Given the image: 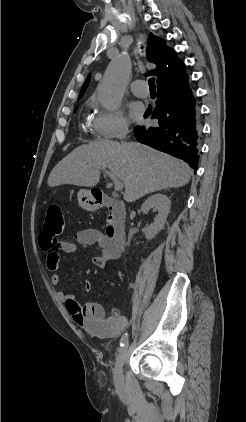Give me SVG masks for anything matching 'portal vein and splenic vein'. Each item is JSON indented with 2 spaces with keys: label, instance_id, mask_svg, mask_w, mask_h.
<instances>
[{
  "label": "portal vein and splenic vein",
  "instance_id": "obj_1",
  "mask_svg": "<svg viewBox=\"0 0 246 422\" xmlns=\"http://www.w3.org/2000/svg\"><path fill=\"white\" fill-rule=\"evenodd\" d=\"M105 174L113 180L115 191L119 192L123 189V183L120 182L111 172L105 171Z\"/></svg>",
  "mask_w": 246,
  "mask_h": 422
}]
</instances>
